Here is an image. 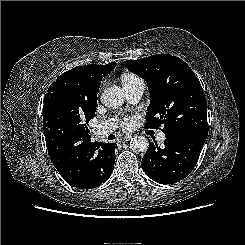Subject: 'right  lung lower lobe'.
Masks as SVG:
<instances>
[{
  "instance_id": "1",
  "label": "right lung lower lobe",
  "mask_w": 245,
  "mask_h": 245,
  "mask_svg": "<svg viewBox=\"0 0 245 245\" xmlns=\"http://www.w3.org/2000/svg\"><path fill=\"white\" fill-rule=\"evenodd\" d=\"M54 166L71 186L79 189L98 187L111 176L115 163V143L91 142L84 138L73 144L68 140H46Z\"/></svg>"
}]
</instances>
